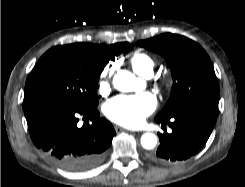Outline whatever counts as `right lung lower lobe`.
<instances>
[{
    "label": "right lung lower lobe",
    "mask_w": 245,
    "mask_h": 187,
    "mask_svg": "<svg viewBox=\"0 0 245 187\" xmlns=\"http://www.w3.org/2000/svg\"><path fill=\"white\" fill-rule=\"evenodd\" d=\"M79 116L92 124L79 128ZM25 117L34 145L52 162L73 172L98 165L116 134L97 109L53 103L25 112Z\"/></svg>",
    "instance_id": "1"
}]
</instances>
